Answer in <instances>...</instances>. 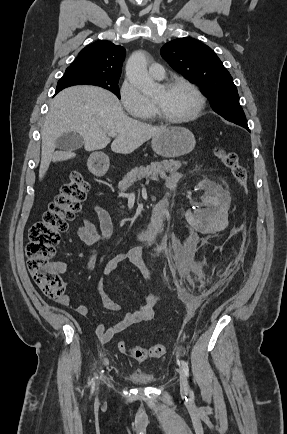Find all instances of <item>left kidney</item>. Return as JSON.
<instances>
[{
  "instance_id": "1",
  "label": "left kidney",
  "mask_w": 287,
  "mask_h": 434,
  "mask_svg": "<svg viewBox=\"0 0 287 434\" xmlns=\"http://www.w3.org/2000/svg\"><path fill=\"white\" fill-rule=\"evenodd\" d=\"M199 186L205 190V194L202 199L204 205L209 207L207 210H205L206 214H209L210 216L211 214H214L215 217H225L230 199L223 189L210 180L202 181ZM185 217L187 222L193 227L198 226L200 223L199 217L190 210L186 212Z\"/></svg>"
}]
</instances>
